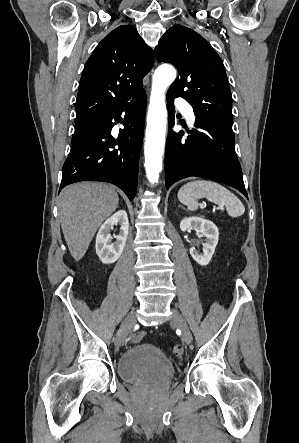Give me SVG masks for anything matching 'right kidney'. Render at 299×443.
Listing matches in <instances>:
<instances>
[{"mask_svg":"<svg viewBox=\"0 0 299 443\" xmlns=\"http://www.w3.org/2000/svg\"><path fill=\"white\" fill-rule=\"evenodd\" d=\"M117 224L121 226L120 233L114 236L116 241L112 243L113 237L110 231L113 229V226ZM128 229V216L124 210L117 211L100 227L96 236L95 248L99 259L104 264L114 263L121 256L128 236Z\"/></svg>","mask_w":299,"mask_h":443,"instance_id":"ca27d5eb","label":"right kidney"}]
</instances>
